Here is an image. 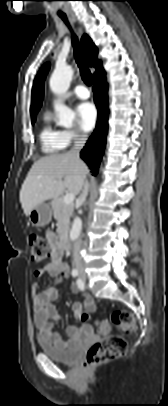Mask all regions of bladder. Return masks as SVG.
Here are the masks:
<instances>
[{"label": "bladder", "instance_id": "31cf9c89", "mask_svg": "<svg viewBox=\"0 0 168 406\" xmlns=\"http://www.w3.org/2000/svg\"><path fill=\"white\" fill-rule=\"evenodd\" d=\"M37 340L42 352L60 363L73 364L81 357L83 350L82 345L60 347L50 343L41 335L37 337Z\"/></svg>", "mask_w": 168, "mask_h": 406}]
</instances>
